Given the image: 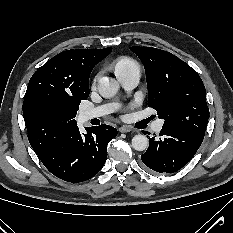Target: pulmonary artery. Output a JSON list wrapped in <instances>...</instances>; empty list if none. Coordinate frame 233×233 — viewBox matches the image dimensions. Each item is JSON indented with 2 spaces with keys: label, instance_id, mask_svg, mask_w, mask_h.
<instances>
[{
  "label": "pulmonary artery",
  "instance_id": "obj_1",
  "mask_svg": "<svg viewBox=\"0 0 233 233\" xmlns=\"http://www.w3.org/2000/svg\"><path fill=\"white\" fill-rule=\"evenodd\" d=\"M119 82L125 89H133L139 83L140 80V69L138 67L131 68L129 70L123 71L116 75ZM113 106L103 105L89 110H84L81 113V119L86 122L94 118H99L111 112ZM164 121L159 119L154 122L153 130L155 132H160L163 127Z\"/></svg>",
  "mask_w": 233,
  "mask_h": 233
}]
</instances>
